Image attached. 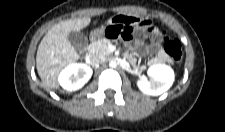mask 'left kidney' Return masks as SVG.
I'll list each match as a JSON object with an SVG mask.
<instances>
[{"instance_id": "left-kidney-1", "label": "left kidney", "mask_w": 225, "mask_h": 132, "mask_svg": "<svg viewBox=\"0 0 225 132\" xmlns=\"http://www.w3.org/2000/svg\"><path fill=\"white\" fill-rule=\"evenodd\" d=\"M148 76L151 78L140 79L137 82L138 88L147 95L158 96L166 92L174 82L173 69L165 64L152 65L148 69Z\"/></svg>"}]
</instances>
